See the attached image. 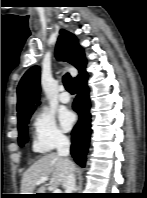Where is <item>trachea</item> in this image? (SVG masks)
<instances>
[{
    "mask_svg": "<svg viewBox=\"0 0 147 198\" xmlns=\"http://www.w3.org/2000/svg\"><path fill=\"white\" fill-rule=\"evenodd\" d=\"M63 84H64L66 90H68L69 92H74L75 91V88H74V85H73V80H72V77L70 76L69 73H66L63 76Z\"/></svg>",
    "mask_w": 147,
    "mask_h": 198,
    "instance_id": "1",
    "label": "trachea"
}]
</instances>
